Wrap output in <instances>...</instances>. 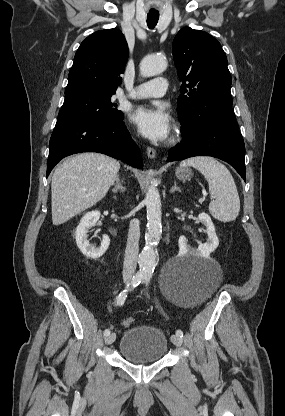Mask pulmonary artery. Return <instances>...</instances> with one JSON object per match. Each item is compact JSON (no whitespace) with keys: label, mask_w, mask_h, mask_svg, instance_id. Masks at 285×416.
Returning a JSON list of instances; mask_svg holds the SVG:
<instances>
[{"label":"pulmonary artery","mask_w":285,"mask_h":416,"mask_svg":"<svg viewBox=\"0 0 285 416\" xmlns=\"http://www.w3.org/2000/svg\"><path fill=\"white\" fill-rule=\"evenodd\" d=\"M167 88V80L163 77H156L147 82L139 84L130 94L132 98L159 97Z\"/></svg>","instance_id":"pulmonary-artery-1"}]
</instances>
